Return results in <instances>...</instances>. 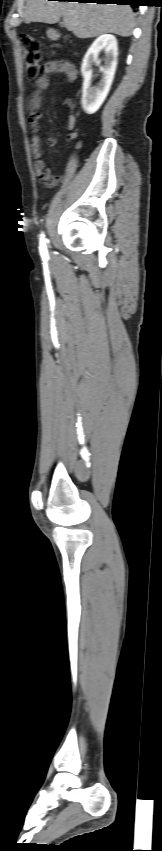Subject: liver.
Returning a JSON list of instances; mask_svg holds the SVG:
<instances>
[{
  "mask_svg": "<svg viewBox=\"0 0 162 851\" xmlns=\"http://www.w3.org/2000/svg\"><path fill=\"white\" fill-rule=\"evenodd\" d=\"M63 17L64 27L78 38H93L105 33L122 37L132 34L134 14L128 5L79 3L67 1L28 0L25 23H57Z\"/></svg>",
  "mask_w": 162,
  "mask_h": 851,
  "instance_id": "liver-1",
  "label": "liver"
}]
</instances>
